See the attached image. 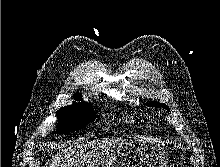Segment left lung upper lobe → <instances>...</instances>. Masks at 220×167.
<instances>
[{
    "label": "left lung upper lobe",
    "mask_w": 220,
    "mask_h": 167,
    "mask_svg": "<svg viewBox=\"0 0 220 167\" xmlns=\"http://www.w3.org/2000/svg\"><path fill=\"white\" fill-rule=\"evenodd\" d=\"M147 106H152V107H163V108H166L168 111H169V108L168 106H166L165 104H162V103H159V102H156V101H150L146 104Z\"/></svg>",
    "instance_id": "obj_1"
}]
</instances>
